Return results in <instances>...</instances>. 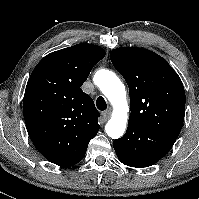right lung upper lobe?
Listing matches in <instances>:
<instances>
[{"label": "right lung upper lobe", "mask_w": 199, "mask_h": 199, "mask_svg": "<svg viewBox=\"0 0 199 199\" xmlns=\"http://www.w3.org/2000/svg\"><path fill=\"white\" fill-rule=\"evenodd\" d=\"M105 50L77 44L52 52L34 68L24 94L23 115L29 137L52 163L80 162L99 131V112L80 88Z\"/></svg>", "instance_id": "cb5924a9"}]
</instances>
